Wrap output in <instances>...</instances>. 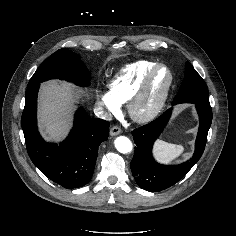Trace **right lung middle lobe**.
<instances>
[{"label": "right lung middle lobe", "mask_w": 236, "mask_h": 236, "mask_svg": "<svg viewBox=\"0 0 236 236\" xmlns=\"http://www.w3.org/2000/svg\"><path fill=\"white\" fill-rule=\"evenodd\" d=\"M61 79L81 86L90 84V73L80 57L68 49H59L52 54L34 73L28 86L49 79Z\"/></svg>", "instance_id": "dd1d6c3e"}]
</instances>
